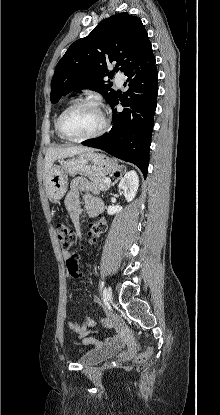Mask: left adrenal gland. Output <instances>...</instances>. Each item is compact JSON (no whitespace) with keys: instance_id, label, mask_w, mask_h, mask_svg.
I'll use <instances>...</instances> for the list:
<instances>
[{"instance_id":"left-adrenal-gland-1","label":"left adrenal gland","mask_w":220,"mask_h":415,"mask_svg":"<svg viewBox=\"0 0 220 415\" xmlns=\"http://www.w3.org/2000/svg\"><path fill=\"white\" fill-rule=\"evenodd\" d=\"M118 180H115L113 183H112V186H114V184L117 182Z\"/></svg>"}]
</instances>
